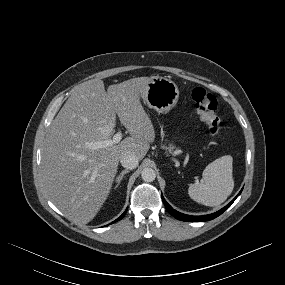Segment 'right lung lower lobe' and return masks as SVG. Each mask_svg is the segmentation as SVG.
Wrapping results in <instances>:
<instances>
[{
	"label": "right lung lower lobe",
	"instance_id": "obj_1",
	"mask_svg": "<svg viewBox=\"0 0 285 285\" xmlns=\"http://www.w3.org/2000/svg\"><path fill=\"white\" fill-rule=\"evenodd\" d=\"M125 213H126V211L118 219H116L114 222H117V221L121 220L124 217Z\"/></svg>",
	"mask_w": 285,
	"mask_h": 285
}]
</instances>
